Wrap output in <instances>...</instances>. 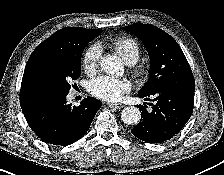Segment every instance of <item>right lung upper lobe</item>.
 I'll use <instances>...</instances> for the list:
<instances>
[{
	"mask_svg": "<svg viewBox=\"0 0 224 175\" xmlns=\"http://www.w3.org/2000/svg\"><path fill=\"white\" fill-rule=\"evenodd\" d=\"M101 32L102 30L66 27L39 44L31 55L43 51H66L89 38H95Z\"/></svg>",
	"mask_w": 224,
	"mask_h": 175,
	"instance_id": "1",
	"label": "right lung upper lobe"
}]
</instances>
